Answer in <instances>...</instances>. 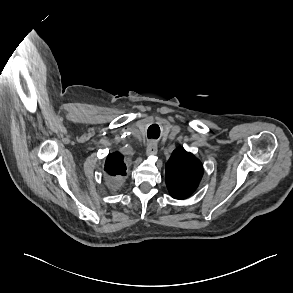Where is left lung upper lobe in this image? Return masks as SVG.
I'll use <instances>...</instances> for the list:
<instances>
[{
  "label": "left lung upper lobe",
  "mask_w": 293,
  "mask_h": 293,
  "mask_svg": "<svg viewBox=\"0 0 293 293\" xmlns=\"http://www.w3.org/2000/svg\"><path fill=\"white\" fill-rule=\"evenodd\" d=\"M203 175L202 163L184 148L176 149L166 164V185L175 199H185L198 187Z\"/></svg>",
  "instance_id": "5c2ea615"
}]
</instances>
